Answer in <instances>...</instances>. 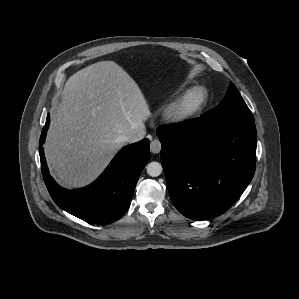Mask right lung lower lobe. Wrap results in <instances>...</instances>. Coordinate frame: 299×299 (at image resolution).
Masks as SVG:
<instances>
[{"instance_id":"98d812e1","label":"right lung lower lobe","mask_w":299,"mask_h":299,"mask_svg":"<svg viewBox=\"0 0 299 299\" xmlns=\"http://www.w3.org/2000/svg\"><path fill=\"white\" fill-rule=\"evenodd\" d=\"M49 124L48 114L40 145L45 142ZM149 146L150 141L145 138L124 147L94 183L74 191L61 188L50 176L40 146L42 175L52 199L63 210L90 223H111L121 218L129 208L137 180L150 159Z\"/></svg>"}]
</instances>
